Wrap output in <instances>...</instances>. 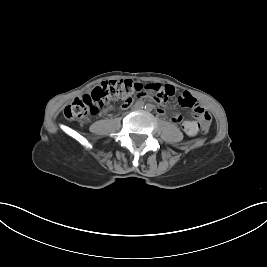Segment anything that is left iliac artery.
I'll return each mask as SVG.
<instances>
[{"label": "left iliac artery", "mask_w": 267, "mask_h": 267, "mask_svg": "<svg viewBox=\"0 0 267 267\" xmlns=\"http://www.w3.org/2000/svg\"><path fill=\"white\" fill-rule=\"evenodd\" d=\"M145 109L150 110V109H151V105L147 104V105L145 106Z\"/></svg>", "instance_id": "1"}]
</instances>
